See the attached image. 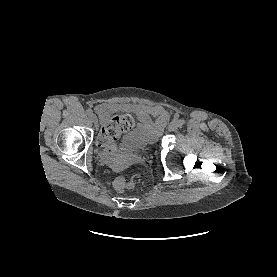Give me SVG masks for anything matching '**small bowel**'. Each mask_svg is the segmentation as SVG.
Masks as SVG:
<instances>
[{
  "instance_id": "obj_1",
  "label": "small bowel",
  "mask_w": 277,
  "mask_h": 277,
  "mask_svg": "<svg viewBox=\"0 0 277 277\" xmlns=\"http://www.w3.org/2000/svg\"><path fill=\"white\" fill-rule=\"evenodd\" d=\"M126 109L137 112L142 119H146L149 115L155 117V123L158 127L165 125L167 120L169 119V113L166 109L160 106H148L143 104L136 105H126ZM98 110L102 111L103 114L108 110L107 105H101L98 107ZM105 120V117H103Z\"/></svg>"
}]
</instances>
